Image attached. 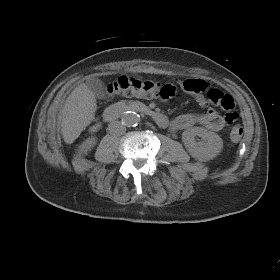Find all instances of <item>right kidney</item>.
I'll return each mask as SVG.
<instances>
[{
    "label": "right kidney",
    "instance_id": "obj_1",
    "mask_svg": "<svg viewBox=\"0 0 280 280\" xmlns=\"http://www.w3.org/2000/svg\"><path fill=\"white\" fill-rule=\"evenodd\" d=\"M96 144V138L95 137H91L86 139L80 146V149L82 152L87 153L88 151H90L94 145Z\"/></svg>",
    "mask_w": 280,
    "mask_h": 280
}]
</instances>
